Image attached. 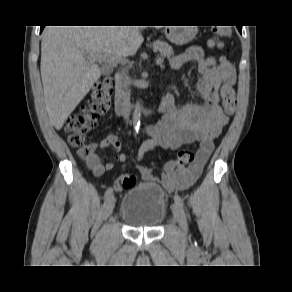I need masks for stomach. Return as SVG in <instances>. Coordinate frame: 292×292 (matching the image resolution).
Returning a JSON list of instances; mask_svg holds the SVG:
<instances>
[{
  "mask_svg": "<svg viewBox=\"0 0 292 292\" xmlns=\"http://www.w3.org/2000/svg\"><path fill=\"white\" fill-rule=\"evenodd\" d=\"M197 31L196 26L170 27L166 29V37L174 44L184 45L195 38Z\"/></svg>",
  "mask_w": 292,
  "mask_h": 292,
  "instance_id": "stomach-1",
  "label": "stomach"
}]
</instances>
